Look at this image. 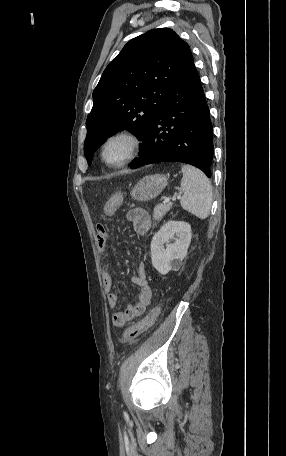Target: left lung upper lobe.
I'll list each match as a JSON object with an SVG mask.
<instances>
[{"label":"left lung upper lobe","instance_id":"obj_1","mask_svg":"<svg viewBox=\"0 0 286 456\" xmlns=\"http://www.w3.org/2000/svg\"><path fill=\"white\" fill-rule=\"evenodd\" d=\"M193 62L173 30L153 29L130 40L104 70L87 116L84 154L92 157L110 136L132 130L143 141L169 91Z\"/></svg>","mask_w":286,"mask_h":456}]
</instances>
